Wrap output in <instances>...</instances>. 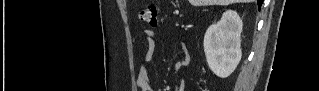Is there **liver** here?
<instances>
[{
  "instance_id": "1",
  "label": "liver",
  "mask_w": 319,
  "mask_h": 91,
  "mask_svg": "<svg viewBox=\"0 0 319 91\" xmlns=\"http://www.w3.org/2000/svg\"><path fill=\"white\" fill-rule=\"evenodd\" d=\"M194 6H207V5H229L233 3H249L253 0H189Z\"/></svg>"
}]
</instances>
